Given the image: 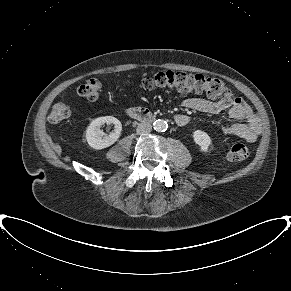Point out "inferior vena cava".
I'll use <instances>...</instances> for the list:
<instances>
[{
  "label": "inferior vena cava",
  "mask_w": 291,
  "mask_h": 291,
  "mask_svg": "<svg viewBox=\"0 0 291 291\" xmlns=\"http://www.w3.org/2000/svg\"><path fill=\"white\" fill-rule=\"evenodd\" d=\"M151 130H152V126L148 122H142L137 127V133L141 134V135L147 134V133L151 132Z\"/></svg>",
  "instance_id": "602c4592"
}]
</instances>
